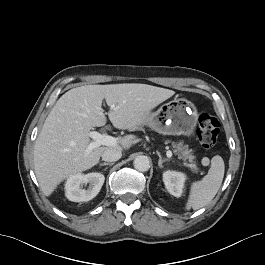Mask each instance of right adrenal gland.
I'll return each mask as SVG.
<instances>
[{"mask_svg": "<svg viewBox=\"0 0 265 265\" xmlns=\"http://www.w3.org/2000/svg\"><path fill=\"white\" fill-rule=\"evenodd\" d=\"M112 165L113 163H106V162L100 163V166H112Z\"/></svg>", "mask_w": 265, "mask_h": 265, "instance_id": "1", "label": "right adrenal gland"}]
</instances>
